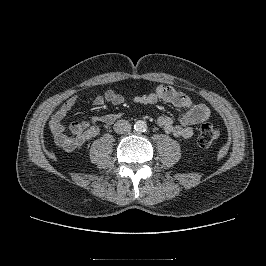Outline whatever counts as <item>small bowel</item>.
Returning <instances> with one entry per match:
<instances>
[{
    "label": "small bowel",
    "instance_id": "obj_1",
    "mask_svg": "<svg viewBox=\"0 0 266 266\" xmlns=\"http://www.w3.org/2000/svg\"><path fill=\"white\" fill-rule=\"evenodd\" d=\"M96 106H103L106 102L113 105L124 103V97L112 89L106 90L103 94H92L87 97ZM134 102L144 105H152L163 101L179 109H186L179 122L169 115H162L158 118V126L168 135L176 138H190L193 135L195 125L206 121L211 111L205 104L196 102L188 95L177 91L169 86H158L154 91L134 97ZM77 96L70 97L51 116L49 129L55 143L65 150H74L91 141L99 134L97 123L111 125L120 118L119 113H108L101 116H92L87 121L73 122L69 127L63 121L69 113L79 104Z\"/></svg>",
    "mask_w": 266,
    "mask_h": 266
}]
</instances>
